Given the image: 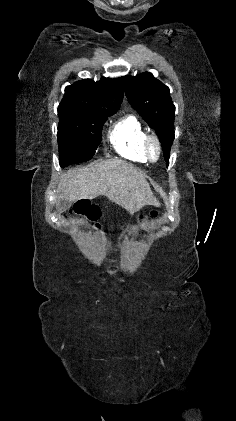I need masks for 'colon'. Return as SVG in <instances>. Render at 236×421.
I'll return each instance as SVG.
<instances>
[{"instance_id":"1","label":"colon","mask_w":236,"mask_h":421,"mask_svg":"<svg viewBox=\"0 0 236 421\" xmlns=\"http://www.w3.org/2000/svg\"><path fill=\"white\" fill-rule=\"evenodd\" d=\"M155 216H156V211H151L149 214L141 215V219H148V218L155 217Z\"/></svg>"}]
</instances>
